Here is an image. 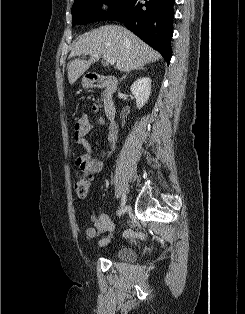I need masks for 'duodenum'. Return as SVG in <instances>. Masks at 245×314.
<instances>
[{
  "mask_svg": "<svg viewBox=\"0 0 245 314\" xmlns=\"http://www.w3.org/2000/svg\"><path fill=\"white\" fill-rule=\"evenodd\" d=\"M91 86L94 88H104L107 92V97L103 106L106 118L111 126L115 125L117 107L111 94L114 93L117 85V80L112 75H93L90 79Z\"/></svg>",
  "mask_w": 245,
  "mask_h": 314,
  "instance_id": "410a0bca",
  "label": "duodenum"
}]
</instances>
